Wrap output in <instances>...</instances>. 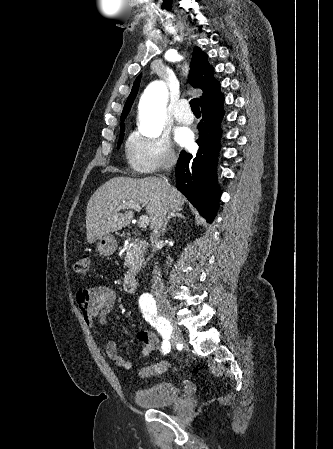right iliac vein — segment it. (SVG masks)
<instances>
[{"label":"right iliac vein","instance_id":"1","mask_svg":"<svg viewBox=\"0 0 333 449\" xmlns=\"http://www.w3.org/2000/svg\"><path fill=\"white\" fill-rule=\"evenodd\" d=\"M160 312L166 317L167 321L171 327V336L170 341L172 344H176L181 341V332L178 326H176L173 322V309L168 302H160L159 303Z\"/></svg>","mask_w":333,"mask_h":449}]
</instances>
